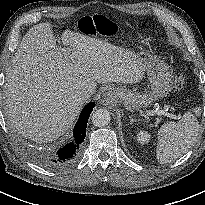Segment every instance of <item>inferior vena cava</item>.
<instances>
[{
  "mask_svg": "<svg viewBox=\"0 0 205 205\" xmlns=\"http://www.w3.org/2000/svg\"><path fill=\"white\" fill-rule=\"evenodd\" d=\"M91 95L92 92L89 89L79 90L75 94V100L79 103H84Z\"/></svg>",
  "mask_w": 205,
  "mask_h": 205,
  "instance_id": "obj_1",
  "label": "inferior vena cava"
}]
</instances>
